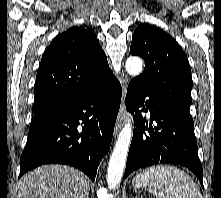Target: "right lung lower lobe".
<instances>
[{"label":"right lung lower lobe","instance_id":"1","mask_svg":"<svg viewBox=\"0 0 221 198\" xmlns=\"http://www.w3.org/2000/svg\"><path fill=\"white\" fill-rule=\"evenodd\" d=\"M122 89L110 80L77 101L31 122L20 176L44 164L74 166L94 181L108 153ZM84 124L82 128L78 126Z\"/></svg>","mask_w":221,"mask_h":198}]
</instances>
